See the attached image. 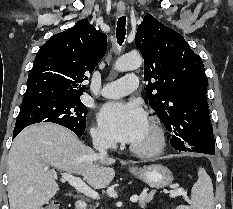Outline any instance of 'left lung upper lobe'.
Instances as JSON below:
<instances>
[{
	"mask_svg": "<svg viewBox=\"0 0 233 209\" xmlns=\"http://www.w3.org/2000/svg\"><path fill=\"white\" fill-rule=\"evenodd\" d=\"M135 44L144 58L150 106L165 128L193 152L214 154L201 58L182 35L150 14L138 26Z\"/></svg>",
	"mask_w": 233,
	"mask_h": 209,
	"instance_id": "5c2ea615",
	"label": "left lung upper lobe"
}]
</instances>
